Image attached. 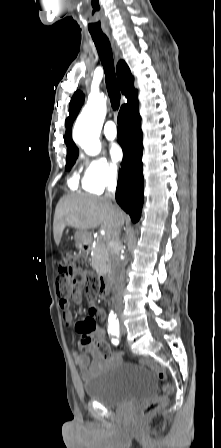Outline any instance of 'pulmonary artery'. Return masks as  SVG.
Wrapping results in <instances>:
<instances>
[{
    "instance_id": "e3ab8cb5",
    "label": "pulmonary artery",
    "mask_w": 221,
    "mask_h": 448,
    "mask_svg": "<svg viewBox=\"0 0 221 448\" xmlns=\"http://www.w3.org/2000/svg\"><path fill=\"white\" fill-rule=\"evenodd\" d=\"M104 135L108 140H114L117 137V127L113 121H108L105 124Z\"/></svg>"
}]
</instances>
